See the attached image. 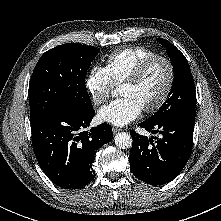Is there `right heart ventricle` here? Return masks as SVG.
<instances>
[{
	"mask_svg": "<svg viewBox=\"0 0 221 221\" xmlns=\"http://www.w3.org/2000/svg\"><path fill=\"white\" fill-rule=\"evenodd\" d=\"M157 52L144 46H134L114 51L108 55L107 69L115 84L125 81L146 59Z\"/></svg>",
	"mask_w": 221,
	"mask_h": 221,
	"instance_id": "e07e8e85",
	"label": "right heart ventricle"
}]
</instances>
